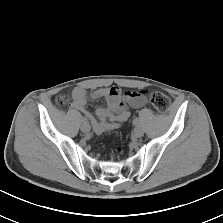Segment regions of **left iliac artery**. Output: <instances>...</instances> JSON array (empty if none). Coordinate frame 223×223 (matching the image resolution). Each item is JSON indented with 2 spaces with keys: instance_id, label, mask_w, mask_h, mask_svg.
I'll use <instances>...</instances> for the list:
<instances>
[{
  "instance_id": "obj_1",
  "label": "left iliac artery",
  "mask_w": 223,
  "mask_h": 223,
  "mask_svg": "<svg viewBox=\"0 0 223 223\" xmlns=\"http://www.w3.org/2000/svg\"><path fill=\"white\" fill-rule=\"evenodd\" d=\"M139 123H140V122H139V119H138V118H135V119L133 120V124H134V125L137 126V125H139Z\"/></svg>"
}]
</instances>
